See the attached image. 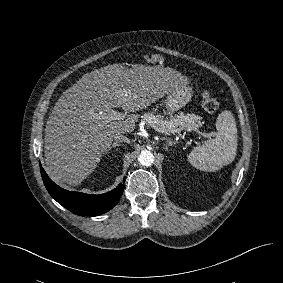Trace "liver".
<instances>
[{
	"label": "liver",
	"instance_id": "6515ba94",
	"mask_svg": "<svg viewBox=\"0 0 283 283\" xmlns=\"http://www.w3.org/2000/svg\"><path fill=\"white\" fill-rule=\"evenodd\" d=\"M183 76L171 68L119 64L86 73L56 102L45 127V163L56 182L78 185L96 168L116 134L131 133L139 115L103 119L119 107L136 112L169 94Z\"/></svg>",
	"mask_w": 283,
	"mask_h": 283
}]
</instances>
